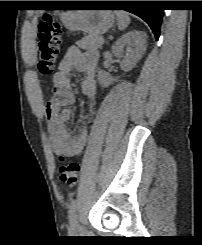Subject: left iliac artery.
<instances>
[{"label":"left iliac artery","instance_id":"obj_1","mask_svg":"<svg viewBox=\"0 0 202 245\" xmlns=\"http://www.w3.org/2000/svg\"><path fill=\"white\" fill-rule=\"evenodd\" d=\"M76 209H77V201L73 200L69 206V211H68V218L70 222H72L76 216Z\"/></svg>","mask_w":202,"mask_h":245}]
</instances>
